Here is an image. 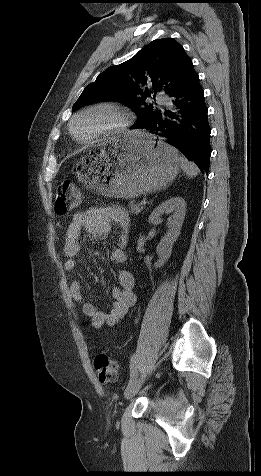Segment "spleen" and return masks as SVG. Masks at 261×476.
<instances>
[{"label": "spleen", "mask_w": 261, "mask_h": 476, "mask_svg": "<svg viewBox=\"0 0 261 476\" xmlns=\"http://www.w3.org/2000/svg\"><path fill=\"white\" fill-rule=\"evenodd\" d=\"M179 160H180V166L184 170L187 176L194 177L199 173L198 167L194 163L189 162L185 157L180 156Z\"/></svg>", "instance_id": "3e777b00"}]
</instances>
